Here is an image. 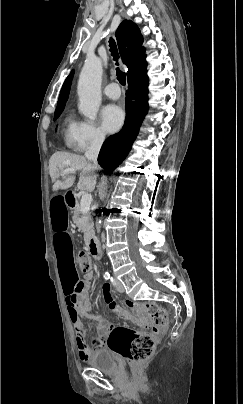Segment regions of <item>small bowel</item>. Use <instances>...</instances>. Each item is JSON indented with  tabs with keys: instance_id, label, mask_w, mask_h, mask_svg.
I'll return each instance as SVG.
<instances>
[{
	"instance_id": "c3829d8e",
	"label": "small bowel",
	"mask_w": 243,
	"mask_h": 404,
	"mask_svg": "<svg viewBox=\"0 0 243 404\" xmlns=\"http://www.w3.org/2000/svg\"><path fill=\"white\" fill-rule=\"evenodd\" d=\"M50 221L68 315L76 332L78 354L82 360H87L94 348H101L105 345V339L110 333L112 325L107 322L97 325V337L93 341V346L91 347L86 343L85 330L80 316L89 317L87 291L89 288L88 281L92 279L93 274L88 273L85 281H80L78 278L74 264L72 241L68 233V204L66 194L63 192L55 194L50 200ZM104 297L115 314L121 315L123 313L115 302L109 286H104Z\"/></svg>"
}]
</instances>
